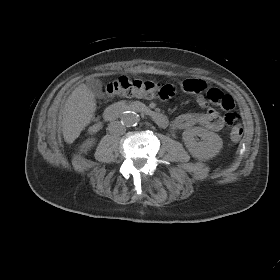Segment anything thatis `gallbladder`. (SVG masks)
Returning a JSON list of instances; mask_svg holds the SVG:
<instances>
[{"mask_svg":"<svg viewBox=\"0 0 280 280\" xmlns=\"http://www.w3.org/2000/svg\"><path fill=\"white\" fill-rule=\"evenodd\" d=\"M87 87L93 92V94L99 98L104 96L102 91L103 84L99 79L93 78L88 80Z\"/></svg>","mask_w":280,"mask_h":280,"instance_id":"1","label":"gallbladder"}]
</instances>
